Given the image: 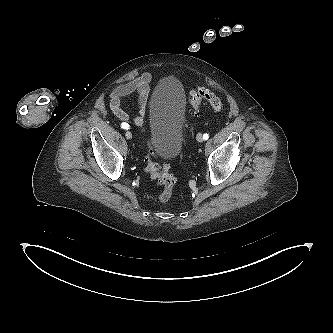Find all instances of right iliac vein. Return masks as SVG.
Here are the masks:
<instances>
[{
	"instance_id": "right-iliac-vein-1",
	"label": "right iliac vein",
	"mask_w": 333,
	"mask_h": 333,
	"mask_svg": "<svg viewBox=\"0 0 333 333\" xmlns=\"http://www.w3.org/2000/svg\"><path fill=\"white\" fill-rule=\"evenodd\" d=\"M125 137H126L127 139H131V138H132V133H131L130 131H127V132L125 133Z\"/></svg>"
}]
</instances>
